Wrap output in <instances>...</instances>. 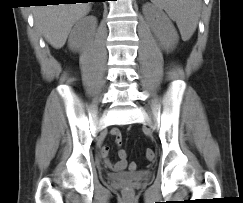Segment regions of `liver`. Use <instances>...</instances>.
Instances as JSON below:
<instances>
[{
    "mask_svg": "<svg viewBox=\"0 0 243 203\" xmlns=\"http://www.w3.org/2000/svg\"><path fill=\"white\" fill-rule=\"evenodd\" d=\"M90 10L88 3L36 6L34 20L37 30L56 49L64 46L73 25Z\"/></svg>",
    "mask_w": 243,
    "mask_h": 203,
    "instance_id": "liver-1",
    "label": "liver"
}]
</instances>
